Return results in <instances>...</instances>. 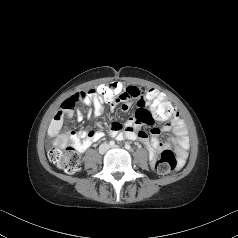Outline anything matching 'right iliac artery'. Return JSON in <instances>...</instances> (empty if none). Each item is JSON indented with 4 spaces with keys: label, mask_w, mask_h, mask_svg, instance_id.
<instances>
[{
    "label": "right iliac artery",
    "mask_w": 238,
    "mask_h": 238,
    "mask_svg": "<svg viewBox=\"0 0 238 238\" xmlns=\"http://www.w3.org/2000/svg\"><path fill=\"white\" fill-rule=\"evenodd\" d=\"M109 145H110L111 147H113V146H115V142H114V141H110V142H109Z\"/></svg>",
    "instance_id": "right-iliac-artery-1"
}]
</instances>
